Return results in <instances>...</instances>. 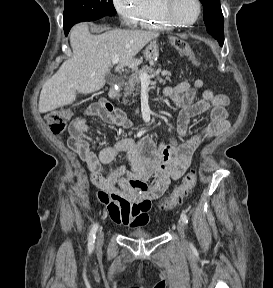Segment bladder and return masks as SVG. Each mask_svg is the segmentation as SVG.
Segmentation results:
<instances>
[{"mask_svg": "<svg viewBox=\"0 0 273 288\" xmlns=\"http://www.w3.org/2000/svg\"><path fill=\"white\" fill-rule=\"evenodd\" d=\"M128 235L130 237H133V238H148L151 236L150 233H148L144 230H141V229L134 230V231L130 232Z\"/></svg>", "mask_w": 273, "mask_h": 288, "instance_id": "obj_1", "label": "bladder"}]
</instances>
